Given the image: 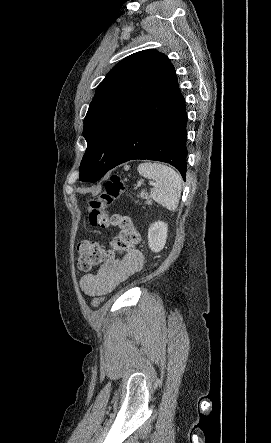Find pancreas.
<instances>
[{
  "label": "pancreas",
  "instance_id": "1",
  "mask_svg": "<svg viewBox=\"0 0 271 443\" xmlns=\"http://www.w3.org/2000/svg\"><path fill=\"white\" fill-rule=\"evenodd\" d=\"M140 198H144V200H146V204H148V206H151L152 200H151L148 192H141Z\"/></svg>",
  "mask_w": 271,
  "mask_h": 443
}]
</instances>
